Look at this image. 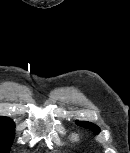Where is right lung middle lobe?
Wrapping results in <instances>:
<instances>
[{"label":"right lung middle lobe","instance_id":"right-lung-middle-lobe-1","mask_svg":"<svg viewBox=\"0 0 130 153\" xmlns=\"http://www.w3.org/2000/svg\"><path fill=\"white\" fill-rule=\"evenodd\" d=\"M14 123L10 118L0 117V153H9L14 138Z\"/></svg>","mask_w":130,"mask_h":153}]
</instances>
